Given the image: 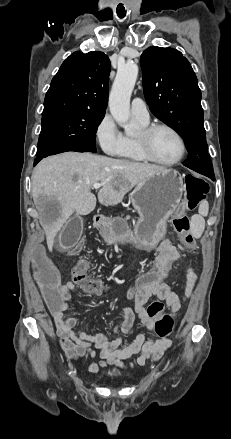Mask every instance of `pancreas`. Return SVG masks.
<instances>
[{
  "mask_svg": "<svg viewBox=\"0 0 231 439\" xmlns=\"http://www.w3.org/2000/svg\"><path fill=\"white\" fill-rule=\"evenodd\" d=\"M126 220H128V219H130V216L128 215V216H126V218H125Z\"/></svg>",
  "mask_w": 231,
  "mask_h": 439,
  "instance_id": "1",
  "label": "pancreas"
}]
</instances>
